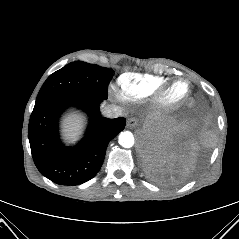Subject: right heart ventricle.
I'll return each mask as SVG.
<instances>
[{"mask_svg":"<svg viewBox=\"0 0 239 239\" xmlns=\"http://www.w3.org/2000/svg\"><path fill=\"white\" fill-rule=\"evenodd\" d=\"M122 95L129 100H140L153 95L168 83L164 77L136 72L123 73L118 78Z\"/></svg>","mask_w":239,"mask_h":239,"instance_id":"obj_1","label":"right heart ventricle"}]
</instances>
